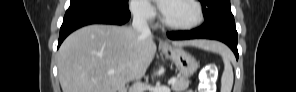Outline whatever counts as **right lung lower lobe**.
I'll return each mask as SVG.
<instances>
[{"label": "right lung lower lobe", "instance_id": "98d812e1", "mask_svg": "<svg viewBox=\"0 0 296 92\" xmlns=\"http://www.w3.org/2000/svg\"><path fill=\"white\" fill-rule=\"evenodd\" d=\"M130 18L128 5L120 8L97 0L71 2L60 28L58 47L74 30L89 24H125Z\"/></svg>", "mask_w": 296, "mask_h": 92}]
</instances>
